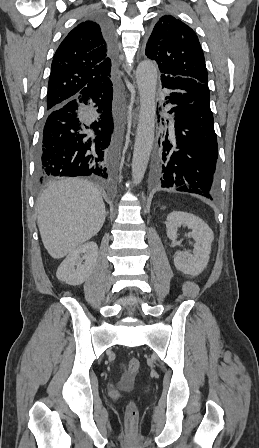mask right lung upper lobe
I'll use <instances>...</instances> for the list:
<instances>
[{"label":"right lung upper lobe","instance_id":"obj_1","mask_svg":"<svg viewBox=\"0 0 259 448\" xmlns=\"http://www.w3.org/2000/svg\"><path fill=\"white\" fill-rule=\"evenodd\" d=\"M109 48L100 25L78 24L64 38L53 57L47 110L79 96L102 92L112 85Z\"/></svg>","mask_w":259,"mask_h":448}]
</instances>
